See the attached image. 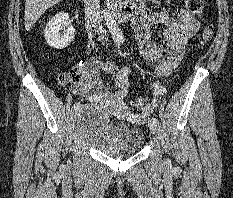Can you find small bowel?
<instances>
[{
	"instance_id": "1",
	"label": "small bowel",
	"mask_w": 233,
	"mask_h": 198,
	"mask_svg": "<svg viewBox=\"0 0 233 198\" xmlns=\"http://www.w3.org/2000/svg\"><path fill=\"white\" fill-rule=\"evenodd\" d=\"M180 7L175 13L160 10L154 11L140 6L135 14L133 27L142 57L155 64L157 77L168 76L179 65L188 41L199 29L196 14L189 11L186 0H178ZM152 26H163L167 48H159L150 33ZM99 68L103 69L115 84L116 89L109 88L107 83L98 77ZM85 79L77 87V93L86 101L101 104L115 111L118 115L134 122L143 119L130 113L124 99L130 88L132 69L125 66L118 69L113 62L89 58L83 65Z\"/></svg>"
}]
</instances>
